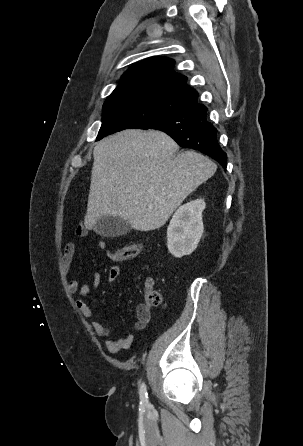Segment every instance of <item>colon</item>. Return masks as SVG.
Wrapping results in <instances>:
<instances>
[{"label":"colon","mask_w":303,"mask_h":446,"mask_svg":"<svg viewBox=\"0 0 303 446\" xmlns=\"http://www.w3.org/2000/svg\"><path fill=\"white\" fill-rule=\"evenodd\" d=\"M145 248L143 243H132L115 252H108L109 258L114 262H123L135 258ZM162 301V294L158 290H151L148 294V302L151 305H158Z\"/></svg>","instance_id":"5ec220e1"}]
</instances>
